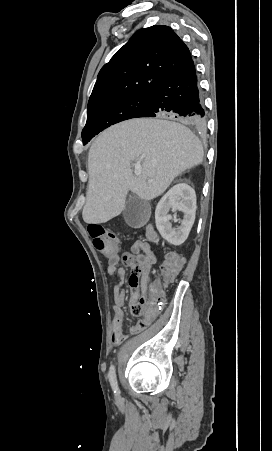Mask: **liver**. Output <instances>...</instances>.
Returning <instances> with one entry per match:
<instances>
[{
	"instance_id": "obj_1",
	"label": "liver",
	"mask_w": 272,
	"mask_h": 451,
	"mask_svg": "<svg viewBox=\"0 0 272 451\" xmlns=\"http://www.w3.org/2000/svg\"><path fill=\"white\" fill-rule=\"evenodd\" d=\"M174 118H134L110 126L93 142L88 156V192L82 218L104 224L125 210L128 192L153 200L181 172L203 162V146ZM142 160L140 176L131 162Z\"/></svg>"
}]
</instances>
